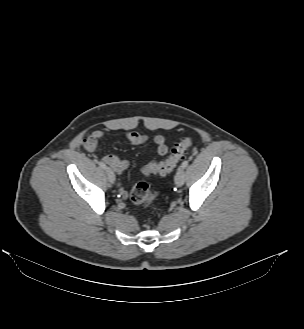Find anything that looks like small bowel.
I'll return each mask as SVG.
<instances>
[{
	"label": "small bowel",
	"instance_id": "c3829d8e",
	"mask_svg": "<svg viewBox=\"0 0 304 329\" xmlns=\"http://www.w3.org/2000/svg\"><path fill=\"white\" fill-rule=\"evenodd\" d=\"M104 137V132L102 130H95L83 140V147L91 153L99 151L100 141ZM127 140L133 145L143 144L147 140V136L136 131H129L126 133ZM156 145L157 153L159 155H165L168 152V147L166 140L161 135H156L153 139ZM102 161L110 166L118 175H120L125 169L128 168L129 162L125 159L120 158L115 154H105L102 157ZM119 191L122 196L126 197L127 192L119 182Z\"/></svg>",
	"mask_w": 304,
	"mask_h": 329
}]
</instances>
